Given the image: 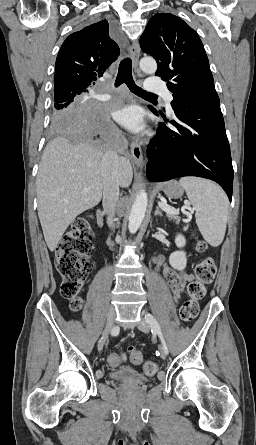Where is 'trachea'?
<instances>
[{"label": "trachea", "mask_w": 256, "mask_h": 445, "mask_svg": "<svg viewBox=\"0 0 256 445\" xmlns=\"http://www.w3.org/2000/svg\"><path fill=\"white\" fill-rule=\"evenodd\" d=\"M123 83H125L129 90L137 96L157 97L156 94L147 92L135 84L132 77V61L130 58H125L120 62L115 87H118Z\"/></svg>", "instance_id": "1"}]
</instances>
